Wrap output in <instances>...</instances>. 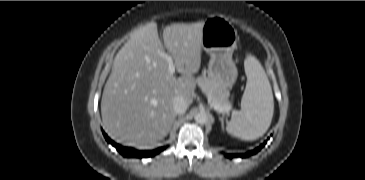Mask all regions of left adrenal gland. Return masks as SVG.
I'll return each instance as SVG.
<instances>
[{"label": "left adrenal gland", "instance_id": "obj_1", "mask_svg": "<svg viewBox=\"0 0 365 180\" xmlns=\"http://www.w3.org/2000/svg\"><path fill=\"white\" fill-rule=\"evenodd\" d=\"M219 120L221 121L222 129H224V119H223V117H219Z\"/></svg>", "mask_w": 365, "mask_h": 180}]
</instances>
